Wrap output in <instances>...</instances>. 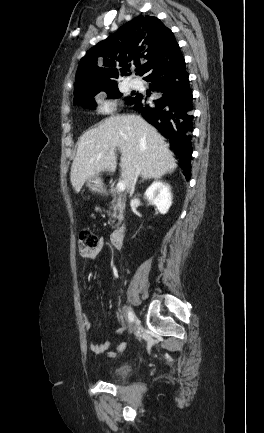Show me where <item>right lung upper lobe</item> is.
Wrapping results in <instances>:
<instances>
[{
	"label": "right lung upper lobe",
	"instance_id": "right-lung-upper-lobe-1",
	"mask_svg": "<svg viewBox=\"0 0 264 433\" xmlns=\"http://www.w3.org/2000/svg\"><path fill=\"white\" fill-rule=\"evenodd\" d=\"M178 54L180 48L172 31L158 18L140 15L99 42L81 59L74 101L116 87L117 82L112 79L118 78L116 67L123 76L133 62L138 64V75H147Z\"/></svg>",
	"mask_w": 264,
	"mask_h": 433
}]
</instances>
